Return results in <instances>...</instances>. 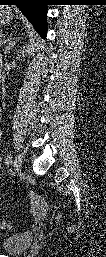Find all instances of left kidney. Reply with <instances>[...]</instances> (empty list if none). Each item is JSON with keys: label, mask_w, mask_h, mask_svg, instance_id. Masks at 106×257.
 Segmentation results:
<instances>
[{"label": "left kidney", "mask_w": 106, "mask_h": 257, "mask_svg": "<svg viewBox=\"0 0 106 257\" xmlns=\"http://www.w3.org/2000/svg\"><path fill=\"white\" fill-rule=\"evenodd\" d=\"M20 53H22V56L24 57V51H22V52H20ZM20 56H21V55H19V52H18L17 58L20 59Z\"/></svg>", "instance_id": "left-kidney-1"}]
</instances>
